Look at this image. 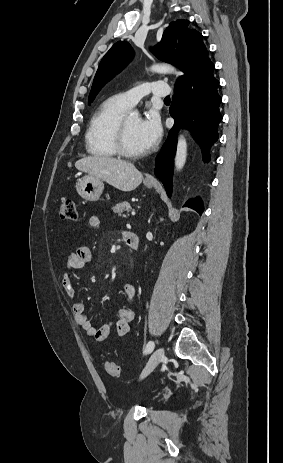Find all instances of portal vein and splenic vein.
I'll return each instance as SVG.
<instances>
[{"mask_svg":"<svg viewBox=\"0 0 283 463\" xmlns=\"http://www.w3.org/2000/svg\"><path fill=\"white\" fill-rule=\"evenodd\" d=\"M131 214H132V215H135L136 213H135L134 211H132V213H131Z\"/></svg>","mask_w":283,"mask_h":463,"instance_id":"obj_1","label":"portal vein and splenic vein"}]
</instances>
